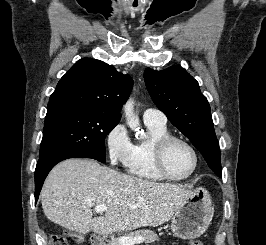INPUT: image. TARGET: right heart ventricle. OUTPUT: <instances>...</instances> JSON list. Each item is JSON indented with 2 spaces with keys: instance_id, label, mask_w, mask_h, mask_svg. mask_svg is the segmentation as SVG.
I'll return each instance as SVG.
<instances>
[{
  "instance_id": "e07e8e85",
  "label": "right heart ventricle",
  "mask_w": 266,
  "mask_h": 245,
  "mask_svg": "<svg viewBox=\"0 0 266 245\" xmlns=\"http://www.w3.org/2000/svg\"><path fill=\"white\" fill-rule=\"evenodd\" d=\"M145 124L150 132V137L135 144L129 173L143 182L157 184L166 179L159 174L155 166L153 146L159 138L169 135L170 132L167 124L157 122H145Z\"/></svg>"
}]
</instances>
